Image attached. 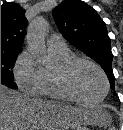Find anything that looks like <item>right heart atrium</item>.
<instances>
[{"label": "right heart atrium", "instance_id": "d8ad5b80", "mask_svg": "<svg viewBox=\"0 0 123 130\" xmlns=\"http://www.w3.org/2000/svg\"><path fill=\"white\" fill-rule=\"evenodd\" d=\"M15 81L21 91L28 95L40 96L43 85V67L30 50L18 56L14 66Z\"/></svg>", "mask_w": 123, "mask_h": 130}]
</instances>
